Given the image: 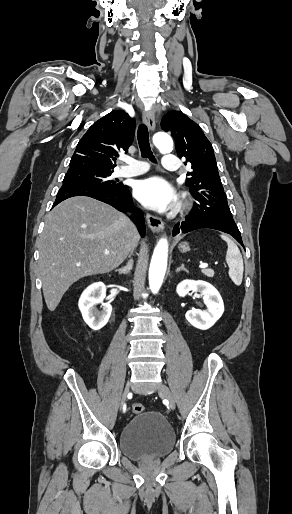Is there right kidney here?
<instances>
[{
  "label": "right kidney",
  "mask_w": 292,
  "mask_h": 514,
  "mask_svg": "<svg viewBox=\"0 0 292 514\" xmlns=\"http://www.w3.org/2000/svg\"><path fill=\"white\" fill-rule=\"evenodd\" d=\"M105 296L106 288L103 282H96L84 290L79 300L78 306L83 320L92 330H101L111 316L112 306L103 304ZM97 304H102L101 312L95 308Z\"/></svg>",
  "instance_id": "obj_1"
}]
</instances>
